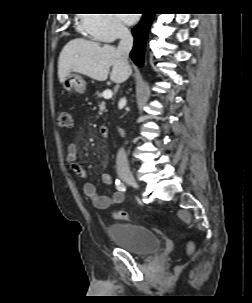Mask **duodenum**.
I'll use <instances>...</instances> for the list:
<instances>
[{
	"mask_svg": "<svg viewBox=\"0 0 252 303\" xmlns=\"http://www.w3.org/2000/svg\"><path fill=\"white\" fill-rule=\"evenodd\" d=\"M99 133L101 137H107L109 133L108 126L102 125L99 127Z\"/></svg>",
	"mask_w": 252,
	"mask_h": 303,
	"instance_id": "410a0bca",
	"label": "duodenum"
}]
</instances>
